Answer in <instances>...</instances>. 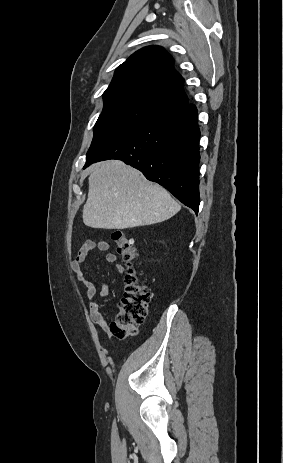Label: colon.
Listing matches in <instances>:
<instances>
[{
    "label": "colon",
    "mask_w": 283,
    "mask_h": 463,
    "mask_svg": "<svg viewBox=\"0 0 283 463\" xmlns=\"http://www.w3.org/2000/svg\"><path fill=\"white\" fill-rule=\"evenodd\" d=\"M117 253L126 264L125 288L122 302L110 324V332L119 339L127 338L137 332L147 314L150 301L149 288L143 284L136 270L138 253L133 240L121 230L112 233Z\"/></svg>",
    "instance_id": "obj_1"
}]
</instances>
